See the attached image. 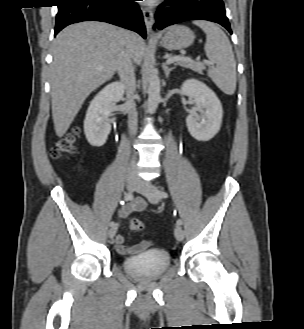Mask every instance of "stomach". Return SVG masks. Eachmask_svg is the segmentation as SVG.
<instances>
[{
	"instance_id": "stomach-1",
	"label": "stomach",
	"mask_w": 304,
	"mask_h": 329,
	"mask_svg": "<svg viewBox=\"0 0 304 329\" xmlns=\"http://www.w3.org/2000/svg\"><path fill=\"white\" fill-rule=\"evenodd\" d=\"M194 32L188 27L175 25L170 27L160 41V45L168 50H180L194 42Z\"/></svg>"
}]
</instances>
